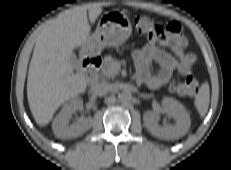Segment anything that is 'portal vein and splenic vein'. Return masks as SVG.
<instances>
[{
    "label": "portal vein and splenic vein",
    "instance_id": "18ae733b",
    "mask_svg": "<svg viewBox=\"0 0 231 170\" xmlns=\"http://www.w3.org/2000/svg\"><path fill=\"white\" fill-rule=\"evenodd\" d=\"M113 68H115L116 70H119L120 69V65L118 63H116Z\"/></svg>",
    "mask_w": 231,
    "mask_h": 170
}]
</instances>
